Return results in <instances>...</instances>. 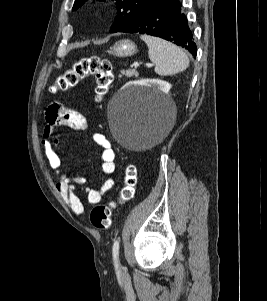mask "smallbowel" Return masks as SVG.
Here are the masks:
<instances>
[{
  "label": "small bowel",
  "instance_id": "obj_1",
  "mask_svg": "<svg viewBox=\"0 0 267 301\" xmlns=\"http://www.w3.org/2000/svg\"><path fill=\"white\" fill-rule=\"evenodd\" d=\"M61 127L73 130L85 131L88 124L85 116L74 109L68 108L61 103H52L45 113V127L43 129L42 145L45 157L57 179L56 188L61 194L68 207L77 215L84 213V206L77 195V190L86 193L90 204L99 203L104 195L112 189L115 184L113 178H106L98 189L85 187L86 180L83 177L69 176L62 168V161L57 153L54 143L57 142L55 133ZM92 141L100 148L101 170L106 175L115 171V153L109 140L100 133L91 135Z\"/></svg>",
  "mask_w": 267,
  "mask_h": 301
}]
</instances>
